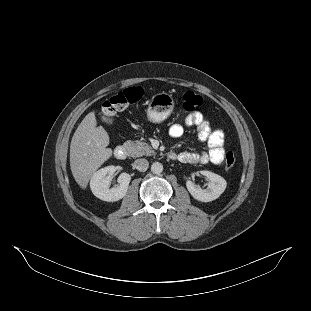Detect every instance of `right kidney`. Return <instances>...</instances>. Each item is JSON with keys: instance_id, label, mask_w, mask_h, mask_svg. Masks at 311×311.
I'll return each mask as SVG.
<instances>
[{"instance_id": "ca27d5eb", "label": "right kidney", "mask_w": 311, "mask_h": 311, "mask_svg": "<svg viewBox=\"0 0 311 311\" xmlns=\"http://www.w3.org/2000/svg\"><path fill=\"white\" fill-rule=\"evenodd\" d=\"M115 172L114 166H106L94 172L90 178L89 187L93 194L104 201H115L125 196L130 182L126 173L120 175L118 184L110 188V176Z\"/></svg>"}]
</instances>
